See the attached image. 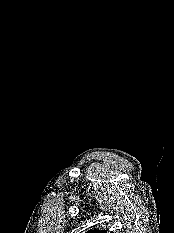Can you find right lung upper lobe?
I'll use <instances>...</instances> for the list:
<instances>
[{
  "mask_svg": "<svg viewBox=\"0 0 174 233\" xmlns=\"http://www.w3.org/2000/svg\"><path fill=\"white\" fill-rule=\"evenodd\" d=\"M87 233H107V231L94 229V230H89Z\"/></svg>",
  "mask_w": 174,
  "mask_h": 233,
  "instance_id": "right-lung-upper-lobe-1",
  "label": "right lung upper lobe"
}]
</instances>
